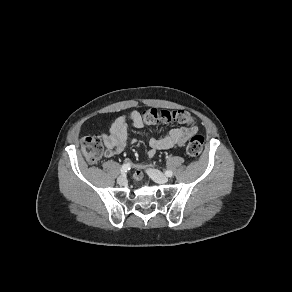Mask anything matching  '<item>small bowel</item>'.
<instances>
[{
    "label": "small bowel",
    "mask_w": 292,
    "mask_h": 292,
    "mask_svg": "<svg viewBox=\"0 0 292 292\" xmlns=\"http://www.w3.org/2000/svg\"><path fill=\"white\" fill-rule=\"evenodd\" d=\"M189 117L190 113L186 112ZM148 122L138 111H132L128 115L117 117L110 126L109 134L103 136V143L106 147L105 156L113 157L119 154L125 147L136 141L128 135L129 124L136 129H141ZM183 126L174 128L162 138L148 137L147 142L149 149L147 155L153 157L160 150H168L181 147L189 138L198 131V126L192 120L190 122L181 123ZM143 177L142 171L139 169L134 174L136 180Z\"/></svg>",
    "instance_id": "c3829d8e"
}]
</instances>
